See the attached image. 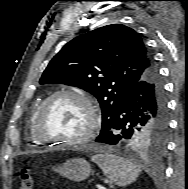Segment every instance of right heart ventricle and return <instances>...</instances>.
I'll use <instances>...</instances> for the list:
<instances>
[{
    "label": "right heart ventricle",
    "mask_w": 188,
    "mask_h": 189,
    "mask_svg": "<svg viewBox=\"0 0 188 189\" xmlns=\"http://www.w3.org/2000/svg\"><path fill=\"white\" fill-rule=\"evenodd\" d=\"M39 106H37L34 111L32 112L31 114V117H30V121H29V133H30V138L33 142H37L36 139L34 138V135H33V131H32V126H33V121H34V118H35V115H36V112L38 110Z\"/></svg>",
    "instance_id": "1"
}]
</instances>
